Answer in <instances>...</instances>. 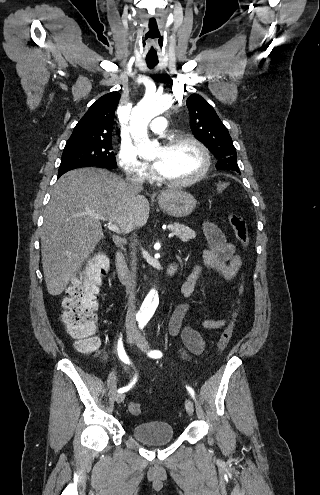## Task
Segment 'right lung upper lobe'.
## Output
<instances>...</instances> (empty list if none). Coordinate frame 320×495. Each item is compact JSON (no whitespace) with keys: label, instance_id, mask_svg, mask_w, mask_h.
<instances>
[{"label":"right lung upper lobe","instance_id":"1","mask_svg":"<svg viewBox=\"0 0 320 495\" xmlns=\"http://www.w3.org/2000/svg\"><path fill=\"white\" fill-rule=\"evenodd\" d=\"M121 95L110 92L93 103L75 126L68 142H111L115 110Z\"/></svg>","mask_w":320,"mask_h":495}]
</instances>
